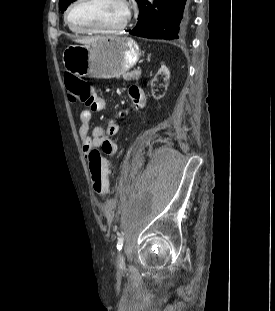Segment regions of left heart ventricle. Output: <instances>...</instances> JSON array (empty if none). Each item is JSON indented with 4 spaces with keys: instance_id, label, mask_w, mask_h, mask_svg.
<instances>
[{
    "instance_id": "obj_1",
    "label": "left heart ventricle",
    "mask_w": 275,
    "mask_h": 311,
    "mask_svg": "<svg viewBox=\"0 0 275 311\" xmlns=\"http://www.w3.org/2000/svg\"><path fill=\"white\" fill-rule=\"evenodd\" d=\"M125 17V7L119 0H82L69 19L76 27L109 29L121 25Z\"/></svg>"
}]
</instances>
